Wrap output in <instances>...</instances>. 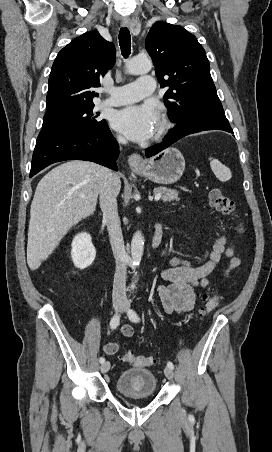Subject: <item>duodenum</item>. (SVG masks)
I'll return each mask as SVG.
<instances>
[{"label":"duodenum","mask_w":272,"mask_h":452,"mask_svg":"<svg viewBox=\"0 0 272 452\" xmlns=\"http://www.w3.org/2000/svg\"><path fill=\"white\" fill-rule=\"evenodd\" d=\"M162 226L159 222H155L154 224V234L152 237V241H151V246L153 248H156L159 246V244L161 243L162 240Z\"/></svg>","instance_id":"duodenum-1"}]
</instances>
